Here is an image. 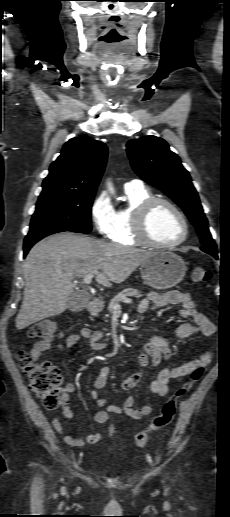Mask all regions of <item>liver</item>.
Listing matches in <instances>:
<instances>
[{"label": "liver", "instance_id": "6515ba94", "mask_svg": "<svg viewBox=\"0 0 230 517\" xmlns=\"http://www.w3.org/2000/svg\"><path fill=\"white\" fill-rule=\"evenodd\" d=\"M152 253L68 232L41 240L24 262V297L16 328L63 313L74 292L73 279L91 274L97 283L111 287L124 282Z\"/></svg>", "mask_w": 230, "mask_h": 517}]
</instances>
